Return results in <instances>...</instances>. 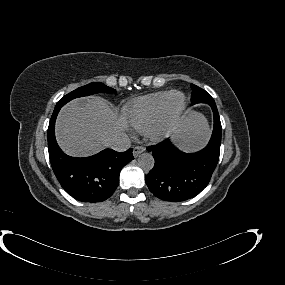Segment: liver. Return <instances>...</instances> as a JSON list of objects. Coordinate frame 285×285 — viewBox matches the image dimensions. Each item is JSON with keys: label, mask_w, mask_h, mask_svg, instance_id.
I'll return each mask as SVG.
<instances>
[{"label": "liver", "mask_w": 285, "mask_h": 285, "mask_svg": "<svg viewBox=\"0 0 285 285\" xmlns=\"http://www.w3.org/2000/svg\"><path fill=\"white\" fill-rule=\"evenodd\" d=\"M128 127L127 117L119 116L100 97L75 99L66 104L56 121V138L68 155L84 157L108 146L112 137ZM207 138V127L199 121V114L187 111L177 124L179 145L196 148Z\"/></svg>", "instance_id": "liver-1"}]
</instances>
